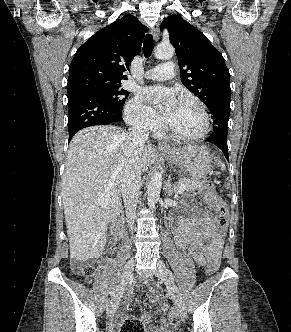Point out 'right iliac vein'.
Masks as SVG:
<instances>
[{
    "mask_svg": "<svg viewBox=\"0 0 291 332\" xmlns=\"http://www.w3.org/2000/svg\"><path fill=\"white\" fill-rule=\"evenodd\" d=\"M133 269H134V260L130 259V260H128V262L126 263V265L122 271L115 294L107 308L108 316H112L114 314L118 299H119L120 295L122 294L124 287L126 286Z\"/></svg>",
    "mask_w": 291,
    "mask_h": 332,
    "instance_id": "obj_1",
    "label": "right iliac vein"
}]
</instances>
